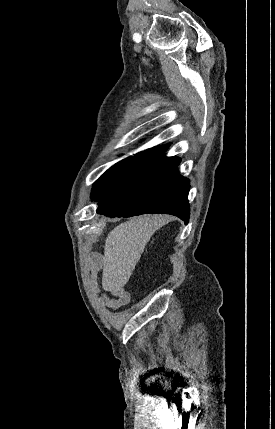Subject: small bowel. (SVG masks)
Wrapping results in <instances>:
<instances>
[{"mask_svg": "<svg viewBox=\"0 0 275 429\" xmlns=\"http://www.w3.org/2000/svg\"><path fill=\"white\" fill-rule=\"evenodd\" d=\"M111 297L101 298L100 300L103 304L111 309H118L130 302L131 296L130 293L121 288H110L108 290ZM97 294L100 296L99 290H96Z\"/></svg>", "mask_w": 275, "mask_h": 429, "instance_id": "c3829d8e", "label": "small bowel"}]
</instances>
